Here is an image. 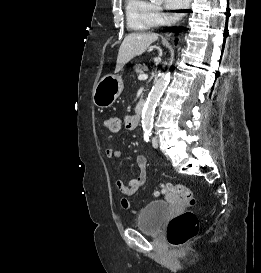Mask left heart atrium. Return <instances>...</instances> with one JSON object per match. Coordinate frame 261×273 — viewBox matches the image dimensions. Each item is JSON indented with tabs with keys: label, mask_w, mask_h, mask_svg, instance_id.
Listing matches in <instances>:
<instances>
[{
	"label": "left heart atrium",
	"mask_w": 261,
	"mask_h": 273,
	"mask_svg": "<svg viewBox=\"0 0 261 273\" xmlns=\"http://www.w3.org/2000/svg\"><path fill=\"white\" fill-rule=\"evenodd\" d=\"M190 0H165V6L172 10L174 18L180 17L182 11L188 6Z\"/></svg>",
	"instance_id": "obj_1"
}]
</instances>
